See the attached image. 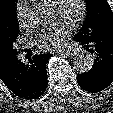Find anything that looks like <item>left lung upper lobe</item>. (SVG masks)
I'll return each mask as SVG.
<instances>
[{"label":"left lung upper lobe","mask_w":113,"mask_h":113,"mask_svg":"<svg viewBox=\"0 0 113 113\" xmlns=\"http://www.w3.org/2000/svg\"><path fill=\"white\" fill-rule=\"evenodd\" d=\"M87 16L83 27L77 34L87 36L88 40L107 35L113 37V12L106 0H86Z\"/></svg>","instance_id":"obj_1"}]
</instances>
